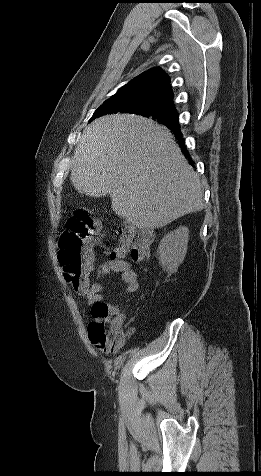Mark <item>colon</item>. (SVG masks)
I'll use <instances>...</instances> for the list:
<instances>
[{"label": "colon", "instance_id": "obj_1", "mask_svg": "<svg viewBox=\"0 0 261 476\" xmlns=\"http://www.w3.org/2000/svg\"><path fill=\"white\" fill-rule=\"evenodd\" d=\"M100 235V225L87 211L77 210L67 221V229L59 239V260L66 281L76 290L84 289L89 280L92 265L90 252L92 241ZM118 246L112 250L113 259L129 255L131 260L139 262L148 253L150 233L123 225L116 229ZM110 307L101 302L92 308V321L88 332L91 342L104 352L118 349L125 341L122 330L108 327Z\"/></svg>", "mask_w": 261, "mask_h": 476}]
</instances>
